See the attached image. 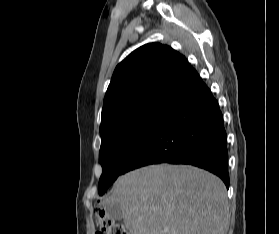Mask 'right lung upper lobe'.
<instances>
[{"mask_svg":"<svg viewBox=\"0 0 279 234\" xmlns=\"http://www.w3.org/2000/svg\"><path fill=\"white\" fill-rule=\"evenodd\" d=\"M199 78L187 59L171 47L145 44L117 65L105 94L101 124L145 106L169 107Z\"/></svg>","mask_w":279,"mask_h":234,"instance_id":"cb5924a9","label":"right lung upper lobe"}]
</instances>
